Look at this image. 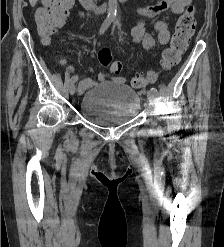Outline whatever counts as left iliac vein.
<instances>
[{
  "label": "left iliac vein",
  "instance_id": "left-iliac-vein-1",
  "mask_svg": "<svg viewBox=\"0 0 224 247\" xmlns=\"http://www.w3.org/2000/svg\"><path fill=\"white\" fill-rule=\"evenodd\" d=\"M147 97L151 105L156 104L155 94L151 90L147 91Z\"/></svg>",
  "mask_w": 224,
  "mask_h": 247
}]
</instances>
